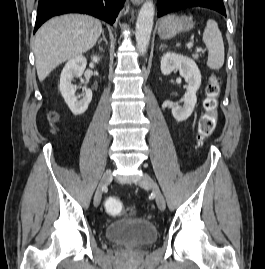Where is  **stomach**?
Segmentation results:
<instances>
[{
    "mask_svg": "<svg viewBox=\"0 0 265 269\" xmlns=\"http://www.w3.org/2000/svg\"><path fill=\"white\" fill-rule=\"evenodd\" d=\"M194 26L191 16L170 15L162 18L158 25V34L162 39H169L181 32L189 31Z\"/></svg>",
    "mask_w": 265,
    "mask_h": 269,
    "instance_id": "0dacf381",
    "label": "stomach"
}]
</instances>
